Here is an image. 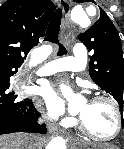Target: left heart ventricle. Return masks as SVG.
<instances>
[{
	"label": "left heart ventricle",
	"instance_id": "obj_1",
	"mask_svg": "<svg viewBox=\"0 0 124 149\" xmlns=\"http://www.w3.org/2000/svg\"><path fill=\"white\" fill-rule=\"evenodd\" d=\"M76 113L97 136L109 137L116 130V115L107 102H82L77 106Z\"/></svg>",
	"mask_w": 124,
	"mask_h": 149
}]
</instances>
